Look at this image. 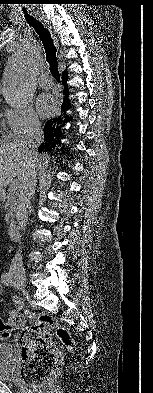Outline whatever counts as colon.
Instances as JSON below:
<instances>
[{
	"label": "colon",
	"instance_id": "obj_1",
	"mask_svg": "<svg viewBox=\"0 0 153 393\" xmlns=\"http://www.w3.org/2000/svg\"><path fill=\"white\" fill-rule=\"evenodd\" d=\"M27 318L22 315H12L8 319L0 318V331L21 329L19 345L22 355L20 370L24 383L37 388L48 382L62 367L63 358L60 349L52 344V337H57L68 350L73 351L77 344L70 331L60 326L48 314H40L36 321L26 326Z\"/></svg>",
	"mask_w": 153,
	"mask_h": 393
}]
</instances>
